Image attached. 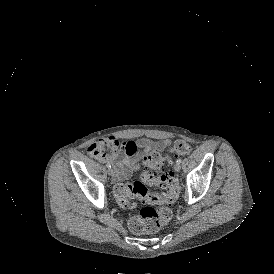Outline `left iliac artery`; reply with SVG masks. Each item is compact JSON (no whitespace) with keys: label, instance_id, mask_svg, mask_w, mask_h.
<instances>
[{"label":"left iliac artery","instance_id":"obj_1","mask_svg":"<svg viewBox=\"0 0 274 274\" xmlns=\"http://www.w3.org/2000/svg\"><path fill=\"white\" fill-rule=\"evenodd\" d=\"M176 162H177L178 164H180V163L182 162V160H181L180 158H178V159L176 160Z\"/></svg>","mask_w":274,"mask_h":274}]
</instances>
